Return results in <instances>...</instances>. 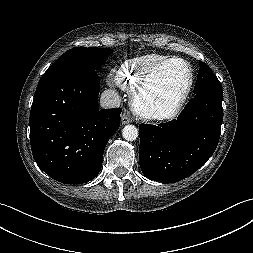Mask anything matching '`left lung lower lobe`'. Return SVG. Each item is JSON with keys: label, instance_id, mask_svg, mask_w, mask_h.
Instances as JSON below:
<instances>
[{"label": "left lung lower lobe", "instance_id": "left-lung-lower-lobe-1", "mask_svg": "<svg viewBox=\"0 0 253 253\" xmlns=\"http://www.w3.org/2000/svg\"><path fill=\"white\" fill-rule=\"evenodd\" d=\"M223 93L201 92L177 119L140 124L139 163L143 174L173 183L197 171L214 153L223 121Z\"/></svg>", "mask_w": 253, "mask_h": 253}]
</instances>
